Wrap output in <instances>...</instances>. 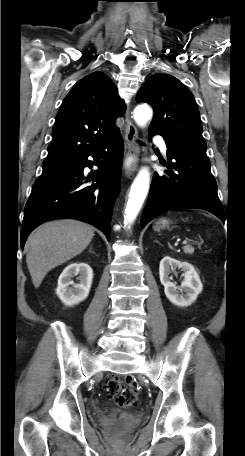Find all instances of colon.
<instances>
[{
  "label": "colon",
  "mask_w": 245,
  "mask_h": 456,
  "mask_svg": "<svg viewBox=\"0 0 245 456\" xmlns=\"http://www.w3.org/2000/svg\"><path fill=\"white\" fill-rule=\"evenodd\" d=\"M104 389L107 397L121 407L129 408L139 403L140 387L131 377L121 379L112 376L106 380Z\"/></svg>",
  "instance_id": "1"
}]
</instances>
